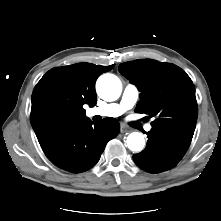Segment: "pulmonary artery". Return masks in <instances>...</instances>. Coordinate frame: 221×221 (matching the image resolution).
<instances>
[{
	"label": "pulmonary artery",
	"mask_w": 221,
	"mask_h": 221,
	"mask_svg": "<svg viewBox=\"0 0 221 221\" xmlns=\"http://www.w3.org/2000/svg\"><path fill=\"white\" fill-rule=\"evenodd\" d=\"M139 89L134 84H127L124 88L121 100L119 103H109L100 107L92 108L89 110V115H99L102 117H118L126 110L131 109L139 98ZM152 129L151 124L145 126L146 131Z\"/></svg>",
	"instance_id": "obj_1"
}]
</instances>
